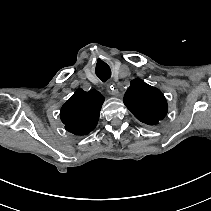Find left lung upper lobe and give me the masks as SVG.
<instances>
[{
  "mask_svg": "<svg viewBox=\"0 0 211 211\" xmlns=\"http://www.w3.org/2000/svg\"><path fill=\"white\" fill-rule=\"evenodd\" d=\"M123 101L139 121L148 125L158 123L168 112L163 93L141 79L131 81Z\"/></svg>",
  "mask_w": 211,
  "mask_h": 211,
  "instance_id": "obj_1",
  "label": "left lung upper lobe"
}]
</instances>
